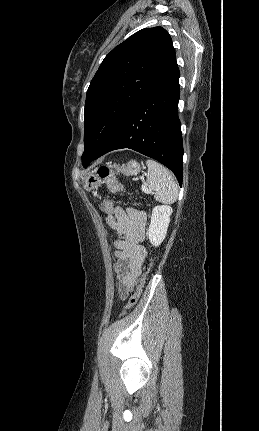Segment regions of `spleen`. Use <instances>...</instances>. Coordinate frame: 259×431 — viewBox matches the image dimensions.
<instances>
[{"label":"spleen","instance_id":"1","mask_svg":"<svg viewBox=\"0 0 259 431\" xmlns=\"http://www.w3.org/2000/svg\"><path fill=\"white\" fill-rule=\"evenodd\" d=\"M148 167L146 185L150 193L154 194L155 200L172 204L178 197V186L175 178L160 163L148 159L146 161Z\"/></svg>","mask_w":259,"mask_h":431}]
</instances>
